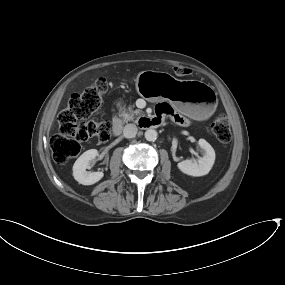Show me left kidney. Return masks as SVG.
<instances>
[{"label": "left kidney", "instance_id": "obj_1", "mask_svg": "<svg viewBox=\"0 0 285 285\" xmlns=\"http://www.w3.org/2000/svg\"><path fill=\"white\" fill-rule=\"evenodd\" d=\"M198 145L203 150V157L197 160H184L177 165L183 173L196 177L208 174L215 162V151L212 146L205 139H199Z\"/></svg>", "mask_w": 285, "mask_h": 285}]
</instances>
